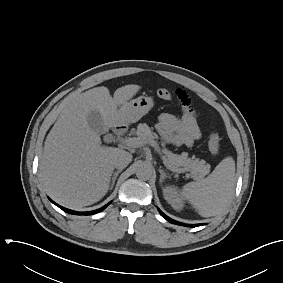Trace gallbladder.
I'll return each mask as SVG.
<instances>
[{
	"label": "gallbladder",
	"instance_id": "bac80fb5",
	"mask_svg": "<svg viewBox=\"0 0 283 283\" xmlns=\"http://www.w3.org/2000/svg\"><path fill=\"white\" fill-rule=\"evenodd\" d=\"M89 127L96 133L101 134L104 130V122L99 112L93 111L88 117Z\"/></svg>",
	"mask_w": 283,
	"mask_h": 283
}]
</instances>
